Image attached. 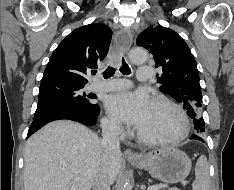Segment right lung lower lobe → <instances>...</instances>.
<instances>
[{
  "label": "right lung lower lobe",
  "mask_w": 234,
  "mask_h": 190,
  "mask_svg": "<svg viewBox=\"0 0 234 190\" xmlns=\"http://www.w3.org/2000/svg\"><path fill=\"white\" fill-rule=\"evenodd\" d=\"M99 108L86 111L69 105H50L35 112L33 122L28 130L27 138L39 130L45 124L61 119L77 121L81 124L93 126L96 124Z\"/></svg>",
  "instance_id": "obj_1"
}]
</instances>
